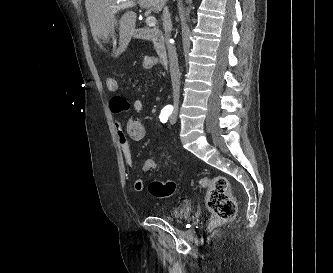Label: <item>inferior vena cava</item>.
<instances>
[{"label": "inferior vena cava", "instance_id": "602c4592", "mask_svg": "<svg viewBox=\"0 0 333 273\" xmlns=\"http://www.w3.org/2000/svg\"><path fill=\"white\" fill-rule=\"evenodd\" d=\"M166 3V2H165ZM163 4V28L165 31V42L168 50L169 57V66H170V75L172 81V89H173V104H174V112L178 110L179 105V97H180V71L178 66V57L176 53V49L174 45L170 43V34L172 31V22L169 10L167 6Z\"/></svg>", "mask_w": 333, "mask_h": 273}]
</instances>
